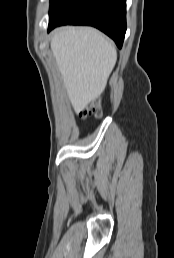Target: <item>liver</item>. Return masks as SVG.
<instances>
[{
	"mask_svg": "<svg viewBox=\"0 0 174 258\" xmlns=\"http://www.w3.org/2000/svg\"><path fill=\"white\" fill-rule=\"evenodd\" d=\"M51 50L76 112L98 98L112 72L113 43L92 27H61L53 32Z\"/></svg>",
	"mask_w": 174,
	"mask_h": 258,
	"instance_id": "obj_1",
	"label": "liver"
}]
</instances>
